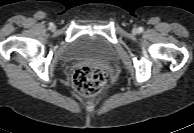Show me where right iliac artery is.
Wrapping results in <instances>:
<instances>
[{
    "label": "right iliac artery",
    "mask_w": 194,
    "mask_h": 133,
    "mask_svg": "<svg viewBox=\"0 0 194 133\" xmlns=\"http://www.w3.org/2000/svg\"><path fill=\"white\" fill-rule=\"evenodd\" d=\"M49 26H50V28H51V27L53 26V23H50Z\"/></svg>",
    "instance_id": "82829eb1"
}]
</instances>
